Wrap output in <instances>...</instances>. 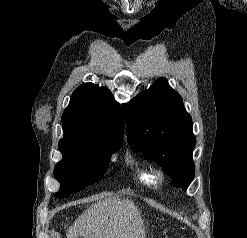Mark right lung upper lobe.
I'll return each instance as SVG.
<instances>
[{
  "instance_id": "1",
  "label": "right lung upper lobe",
  "mask_w": 247,
  "mask_h": 238,
  "mask_svg": "<svg viewBox=\"0 0 247 238\" xmlns=\"http://www.w3.org/2000/svg\"><path fill=\"white\" fill-rule=\"evenodd\" d=\"M63 140L91 144L123 142L124 121L121 107L105 87L80 85L72 94L62 115Z\"/></svg>"
}]
</instances>
